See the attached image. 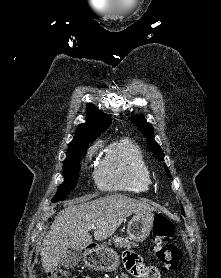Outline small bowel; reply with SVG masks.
Listing matches in <instances>:
<instances>
[{
    "instance_id": "c3829d8e",
    "label": "small bowel",
    "mask_w": 221,
    "mask_h": 278,
    "mask_svg": "<svg viewBox=\"0 0 221 278\" xmlns=\"http://www.w3.org/2000/svg\"><path fill=\"white\" fill-rule=\"evenodd\" d=\"M123 259L128 274L122 273L119 278H130V275L136 278H151L149 266L144 263L139 255L133 252H126Z\"/></svg>"
}]
</instances>
